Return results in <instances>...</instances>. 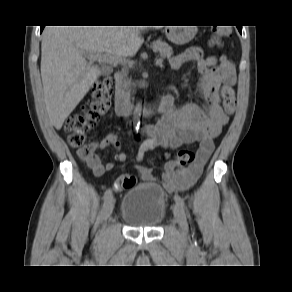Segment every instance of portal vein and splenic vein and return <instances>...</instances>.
<instances>
[{
  "instance_id": "1",
  "label": "portal vein and splenic vein",
  "mask_w": 292,
  "mask_h": 292,
  "mask_svg": "<svg viewBox=\"0 0 292 292\" xmlns=\"http://www.w3.org/2000/svg\"><path fill=\"white\" fill-rule=\"evenodd\" d=\"M88 57L93 60H98L100 62H107V63H117L118 60H116L114 57H112L110 54H103V53H90L88 54ZM157 66L163 65V59H158L156 61Z\"/></svg>"
}]
</instances>
